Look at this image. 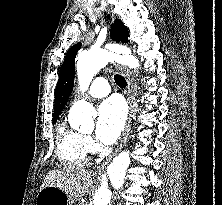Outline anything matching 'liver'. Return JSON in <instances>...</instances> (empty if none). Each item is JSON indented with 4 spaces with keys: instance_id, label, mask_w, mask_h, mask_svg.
Returning a JSON list of instances; mask_svg holds the SVG:
<instances>
[{
    "instance_id": "6515ba94",
    "label": "liver",
    "mask_w": 222,
    "mask_h": 205,
    "mask_svg": "<svg viewBox=\"0 0 222 205\" xmlns=\"http://www.w3.org/2000/svg\"><path fill=\"white\" fill-rule=\"evenodd\" d=\"M55 186L64 190L71 198L84 196L93 186L91 171L80 167L68 166L51 171L45 178L41 188Z\"/></svg>"
}]
</instances>
